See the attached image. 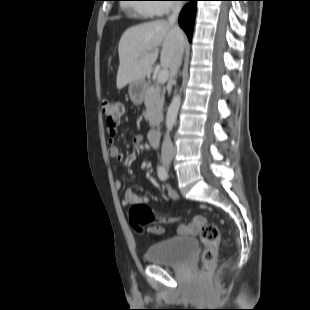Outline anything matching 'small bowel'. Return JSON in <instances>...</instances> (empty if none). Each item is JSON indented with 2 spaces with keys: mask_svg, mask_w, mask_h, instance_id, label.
I'll return each mask as SVG.
<instances>
[{
  "mask_svg": "<svg viewBox=\"0 0 310 310\" xmlns=\"http://www.w3.org/2000/svg\"><path fill=\"white\" fill-rule=\"evenodd\" d=\"M119 130L116 127H110L108 126V134L110 136V146L108 149L110 157L114 158L115 160L122 162L125 159L124 153L119 149V147L115 144L114 138L118 135ZM131 144L134 147L136 151H139L142 148L143 144V138L139 134H135L131 138ZM121 181L117 180L115 182V186L117 188H121ZM165 195L168 199L176 200L178 199V195L176 191L171 187L165 188ZM148 197L145 195H140L136 192H134L132 189H127L124 197L122 199V205L123 206H131L133 204L139 203V202H147ZM201 220H204L203 217L197 216L193 219L192 223L188 225H181L178 227L177 232L178 234L182 236H187L192 234L197 227H199V222ZM150 232L153 234L159 235L163 232V228L161 226H152L149 228Z\"/></svg>",
  "mask_w": 310,
  "mask_h": 310,
  "instance_id": "small-bowel-1",
  "label": "small bowel"
}]
</instances>
